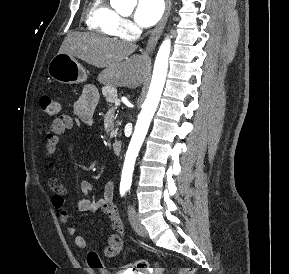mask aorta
I'll list each match as a JSON object with an SVG mask.
<instances>
[{
	"label": "aorta",
	"instance_id": "762f6f07",
	"mask_svg": "<svg viewBox=\"0 0 289 274\" xmlns=\"http://www.w3.org/2000/svg\"><path fill=\"white\" fill-rule=\"evenodd\" d=\"M130 1L131 0H111V4L115 8H122L127 6ZM170 46V40L166 39L157 53L150 88L143 103L141 113L138 116L135 130L126 153L121 177V184L123 185L131 184L136 157L138 156L150 122L159 104L168 71Z\"/></svg>",
	"mask_w": 289,
	"mask_h": 274
}]
</instances>
